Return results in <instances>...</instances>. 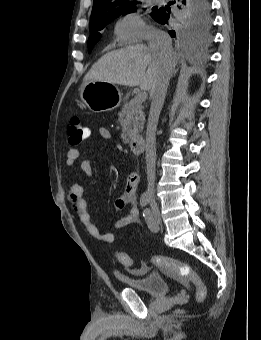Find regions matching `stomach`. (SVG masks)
I'll return each instance as SVG.
<instances>
[{
	"instance_id": "0dacf381",
	"label": "stomach",
	"mask_w": 261,
	"mask_h": 340,
	"mask_svg": "<svg viewBox=\"0 0 261 340\" xmlns=\"http://www.w3.org/2000/svg\"><path fill=\"white\" fill-rule=\"evenodd\" d=\"M80 98L92 112L100 113L118 107L122 100V93L115 84L92 80L83 85Z\"/></svg>"
}]
</instances>
